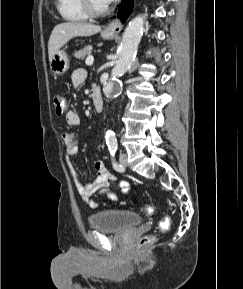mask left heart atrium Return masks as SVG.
I'll return each mask as SVG.
<instances>
[{"mask_svg":"<svg viewBox=\"0 0 243 289\" xmlns=\"http://www.w3.org/2000/svg\"><path fill=\"white\" fill-rule=\"evenodd\" d=\"M114 0H102V2L105 4V5H109L113 2Z\"/></svg>","mask_w":243,"mask_h":289,"instance_id":"1","label":"left heart atrium"}]
</instances>
